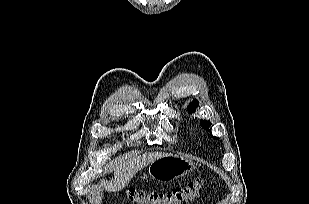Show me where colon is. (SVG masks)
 I'll list each match as a JSON object with an SVG mask.
<instances>
[{
	"instance_id": "5ec220e1",
	"label": "colon",
	"mask_w": 309,
	"mask_h": 204,
	"mask_svg": "<svg viewBox=\"0 0 309 204\" xmlns=\"http://www.w3.org/2000/svg\"><path fill=\"white\" fill-rule=\"evenodd\" d=\"M203 187L204 179L198 177L170 192L145 193L140 190L131 189L126 192V196L131 202L137 204H189L200 195Z\"/></svg>"
}]
</instances>
